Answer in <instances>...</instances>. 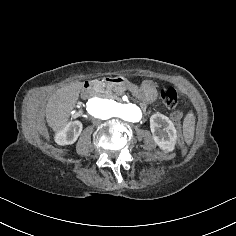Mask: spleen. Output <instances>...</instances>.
I'll return each instance as SVG.
<instances>
[{"instance_id": "spleen-1", "label": "spleen", "mask_w": 236, "mask_h": 236, "mask_svg": "<svg viewBox=\"0 0 236 236\" xmlns=\"http://www.w3.org/2000/svg\"><path fill=\"white\" fill-rule=\"evenodd\" d=\"M183 137L188 146L194 141L195 137V116L193 111H189L183 122Z\"/></svg>"}]
</instances>
